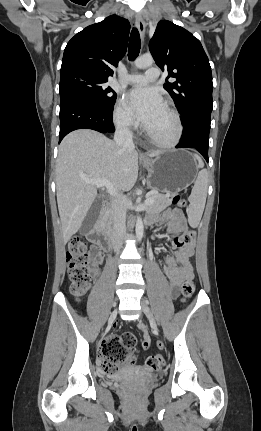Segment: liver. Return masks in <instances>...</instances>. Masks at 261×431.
Wrapping results in <instances>:
<instances>
[{
    "label": "liver",
    "mask_w": 261,
    "mask_h": 431,
    "mask_svg": "<svg viewBox=\"0 0 261 431\" xmlns=\"http://www.w3.org/2000/svg\"><path fill=\"white\" fill-rule=\"evenodd\" d=\"M161 151L148 155L155 157ZM138 152L123 149L101 133L79 129L61 142L56 164V194L64 243L80 229L97 196L85 180L107 179L118 191L131 190L138 177Z\"/></svg>",
    "instance_id": "6515ba94"
}]
</instances>
